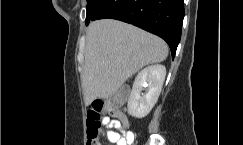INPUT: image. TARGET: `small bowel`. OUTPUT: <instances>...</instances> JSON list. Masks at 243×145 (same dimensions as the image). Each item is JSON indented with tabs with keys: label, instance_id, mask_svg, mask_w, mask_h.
<instances>
[{
	"label": "small bowel",
	"instance_id": "obj_1",
	"mask_svg": "<svg viewBox=\"0 0 243 145\" xmlns=\"http://www.w3.org/2000/svg\"><path fill=\"white\" fill-rule=\"evenodd\" d=\"M119 120H112L109 117L103 119L102 125L103 128L106 130V133L99 132L96 136V145H101L100 140L107 136L108 140L111 143L116 145H133L135 142V134L132 131H124V132H117L112 130L113 128L122 129V123L125 122L126 118L125 115L122 113L118 114Z\"/></svg>",
	"mask_w": 243,
	"mask_h": 145
}]
</instances>
